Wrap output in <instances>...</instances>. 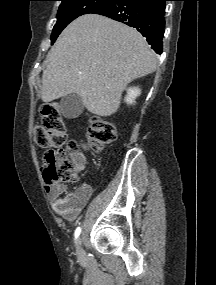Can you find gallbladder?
<instances>
[{"label": "gallbladder", "instance_id": "1", "mask_svg": "<svg viewBox=\"0 0 216 285\" xmlns=\"http://www.w3.org/2000/svg\"><path fill=\"white\" fill-rule=\"evenodd\" d=\"M60 110L64 117L72 119L78 117L83 111V102L79 95L71 93L60 101Z\"/></svg>", "mask_w": 216, "mask_h": 285}]
</instances>
